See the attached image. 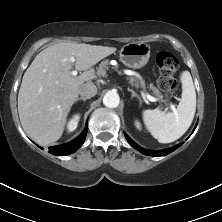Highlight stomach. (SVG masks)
Masks as SVG:
<instances>
[{
    "instance_id": "1",
    "label": "stomach",
    "mask_w": 222,
    "mask_h": 222,
    "mask_svg": "<svg viewBox=\"0 0 222 222\" xmlns=\"http://www.w3.org/2000/svg\"><path fill=\"white\" fill-rule=\"evenodd\" d=\"M119 56L125 66L133 69L141 68L150 58V46L145 42L128 43L121 48Z\"/></svg>"
}]
</instances>
